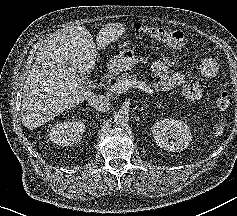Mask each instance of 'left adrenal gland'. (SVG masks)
Listing matches in <instances>:
<instances>
[{"label": "left adrenal gland", "instance_id": "left-adrenal-gland-1", "mask_svg": "<svg viewBox=\"0 0 237 216\" xmlns=\"http://www.w3.org/2000/svg\"><path fill=\"white\" fill-rule=\"evenodd\" d=\"M143 109H144V108H140V109H139V112H141Z\"/></svg>", "mask_w": 237, "mask_h": 216}]
</instances>
